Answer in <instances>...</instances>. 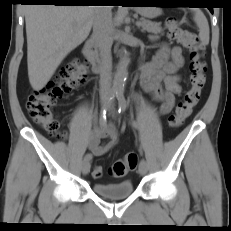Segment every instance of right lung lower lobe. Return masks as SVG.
<instances>
[{
    "mask_svg": "<svg viewBox=\"0 0 231 231\" xmlns=\"http://www.w3.org/2000/svg\"><path fill=\"white\" fill-rule=\"evenodd\" d=\"M79 1L81 0H22V2L27 3H49L54 5H83L82 2Z\"/></svg>",
    "mask_w": 231,
    "mask_h": 231,
    "instance_id": "obj_1",
    "label": "right lung lower lobe"
}]
</instances>
